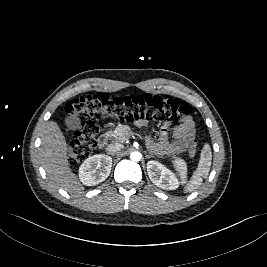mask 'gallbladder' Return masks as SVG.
<instances>
[{"label":"gallbladder","instance_id":"obj_1","mask_svg":"<svg viewBox=\"0 0 267 267\" xmlns=\"http://www.w3.org/2000/svg\"><path fill=\"white\" fill-rule=\"evenodd\" d=\"M65 125L70 130L79 129L81 125V119L76 115H70L66 117Z\"/></svg>","mask_w":267,"mask_h":267}]
</instances>
